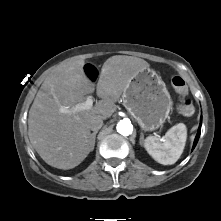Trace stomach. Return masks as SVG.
Instances as JSON below:
<instances>
[{"instance_id":"1","label":"stomach","mask_w":221,"mask_h":221,"mask_svg":"<svg viewBox=\"0 0 221 221\" xmlns=\"http://www.w3.org/2000/svg\"><path fill=\"white\" fill-rule=\"evenodd\" d=\"M123 105L145 131L158 129L169 117L172 100L162 78L150 68L140 71L127 84Z\"/></svg>"}]
</instances>
